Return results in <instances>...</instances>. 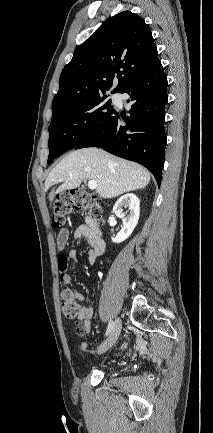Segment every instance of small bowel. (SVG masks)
Wrapping results in <instances>:
<instances>
[{
    "instance_id": "small-bowel-1",
    "label": "small bowel",
    "mask_w": 213,
    "mask_h": 433,
    "mask_svg": "<svg viewBox=\"0 0 213 433\" xmlns=\"http://www.w3.org/2000/svg\"><path fill=\"white\" fill-rule=\"evenodd\" d=\"M74 238L82 243L89 244L90 248L87 250V260L90 264H93L96 258L103 254L105 250V243L103 239H100L96 236V234L92 231V229L86 225H80L74 230ZM69 231L67 229H62L56 238V245L59 251H62L68 241ZM68 262L76 263L78 262V254L76 250H70L67 255ZM62 272V276H67V269H60ZM64 287L66 285L64 284ZM77 292V291H76ZM77 298L79 300L82 299V295L77 292ZM91 313L92 309L90 307H83L80 309L78 319L81 321L79 327V334L84 335L90 332L92 324H91ZM126 345V344H125ZM124 345V346H125ZM80 349L86 350L88 348V343L86 341H81L79 344Z\"/></svg>"
}]
</instances>
